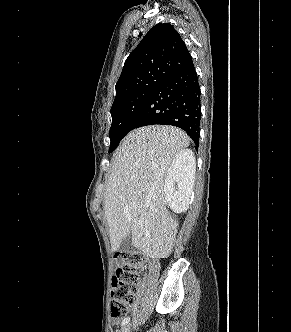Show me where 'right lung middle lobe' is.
I'll return each mask as SVG.
<instances>
[{
    "instance_id": "1",
    "label": "right lung middle lobe",
    "mask_w": 291,
    "mask_h": 332,
    "mask_svg": "<svg viewBox=\"0 0 291 332\" xmlns=\"http://www.w3.org/2000/svg\"><path fill=\"white\" fill-rule=\"evenodd\" d=\"M160 82L154 81L147 89L139 90L114 100L111 107L112 125L109 131L111 141L109 152H112L129 132L133 117L142 108Z\"/></svg>"
}]
</instances>
